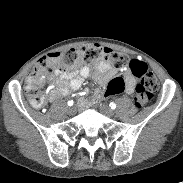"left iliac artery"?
I'll use <instances>...</instances> for the list:
<instances>
[{"label":"left iliac artery","mask_w":183,"mask_h":183,"mask_svg":"<svg viewBox=\"0 0 183 183\" xmlns=\"http://www.w3.org/2000/svg\"><path fill=\"white\" fill-rule=\"evenodd\" d=\"M110 107H111V109H115L116 108V104L115 103H110Z\"/></svg>","instance_id":"44dca946"}]
</instances>
